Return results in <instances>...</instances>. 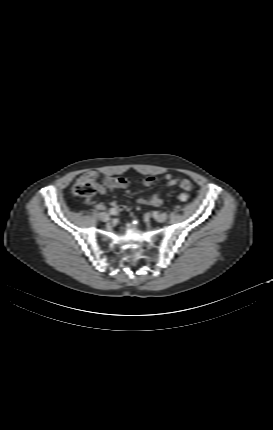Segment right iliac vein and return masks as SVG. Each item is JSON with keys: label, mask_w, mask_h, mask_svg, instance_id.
I'll list each match as a JSON object with an SVG mask.
<instances>
[{"label": "right iliac vein", "mask_w": 273, "mask_h": 430, "mask_svg": "<svg viewBox=\"0 0 273 430\" xmlns=\"http://www.w3.org/2000/svg\"><path fill=\"white\" fill-rule=\"evenodd\" d=\"M99 217H100V219H101L102 221L106 222V221H108V220L110 219V214H109V213H107V212H101V213L99 214Z\"/></svg>", "instance_id": "right-iliac-vein-1"}]
</instances>
